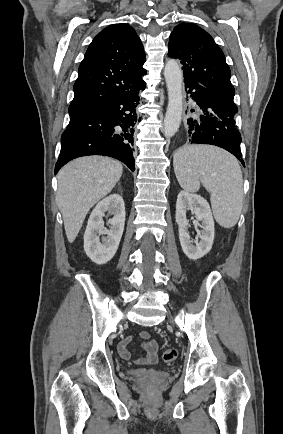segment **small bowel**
<instances>
[{
	"label": "small bowel",
	"instance_id": "c3829d8e",
	"mask_svg": "<svg viewBox=\"0 0 283 434\" xmlns=\"http://www.w3.org/2000/svg\"><path fill=\"white\" fill-rule=\"evenodd\" d=\"M139 338L144 340L142 344V348L144 350V355L134 359V361L137 364L141 365H151L155 364L157 362L158 356H157V350H158V344L155 340L151 339V335L148 331H140L137 334ZM132 340V336H128L125 339H123L119 345H118V351L120 356L123 359L131 360L132 355L130 351L128 350V345Z\"/></svg>",
	"mask_w": 283,
	"mask_h": 434
}]
</instances>
